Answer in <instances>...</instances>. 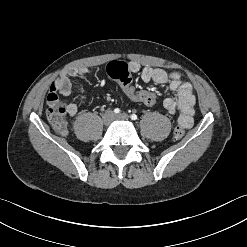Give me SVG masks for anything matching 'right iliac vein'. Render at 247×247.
<instances>
[{"instance_id":"63e3f726","label":"right iliac vein","mask_w":247,"mask_h":247,"mask_svg":"<svg viewBox=\"0 0 247 247\" xmlns=\"http://www.w3.org/2000/svg\"><path fill=\"white\" fill-rule=\"evenodd\" d=\"M114 119V114L112 111H106L103 115V122L106 125H109Z\"/></svg>"}]
</instances>
